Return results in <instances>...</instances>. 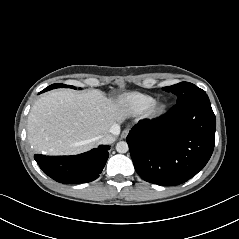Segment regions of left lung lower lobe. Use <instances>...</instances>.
Segmentation results:
<instances>
[{"instance_id": "obj_1", "label": "left lung lower lobe", "mask_w": 239, "mask_h": 239, "mask_svg": "<svg viewBox=\"0 0 239 239\" xmlns=\"http://www.w3.org/2000/svg\"><path fill=\"white\" fill-rule=\"evenodd\" d=\"M215 129V115L203 93L176 103L156 121L139 122L126 140L142 179L173 186L186 182L207 164Z\"/></svg>"}]
</instances>
